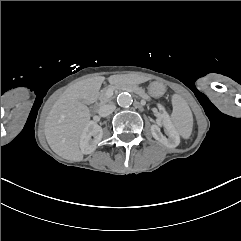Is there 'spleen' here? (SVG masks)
<instances>
[{
	"mask_svg": "<svg viewBox=\"0 0 241 241\" xmlns=\"http://www.w3.org/2000/svg\"><path fill=\"white\" fill-rule=\"evenodd\" d=\"M172 113L170 121L176 132L183 140H189L193 133V114L188 103L177 93L170 94Z\"/></svg>",
	"mask_w": 241,
	"mask_h": 241,
	"instance_id": "obj_1",
	"label": "spleen"
}]
</instances>
